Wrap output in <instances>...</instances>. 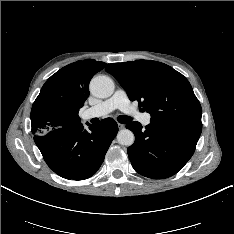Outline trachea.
<instances>
[{"mask_svg": "<svg viewBox=\"0 0 234 234\" xmlns=\"http://www.w3.org/2000/svg\"><path fill=\"white\" fill-rule=\"evenodd\" d=\"M118 121L122 124H126L132 121V118L126 115H122L118 117Z\"/></svg>", "mask_w": 234, "mask_h": 234, "instance_id": "3493384b", "label": "trachea"}]
</instances>
